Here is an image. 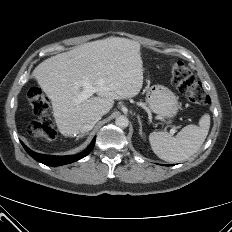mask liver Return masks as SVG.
<instances>
[{"label":"liver","mask_w":232,"mask_h":232,"mask_svg":"<svg viewBox=\"0 0 232 232\" xmlns=\"http://www.w3.org/2000/svg\"><path fill=\"white\" fill-rule=\"evenodd\" d=\"M140 44L110 37L77 46L41 62L32 72L40 88L51 100L60 133L73 137L92 114H107L114 100L136 96L143 85ZM87 82L97 97L76 103Z\"/></svg>","instance_id":"1"}]
</instances>
